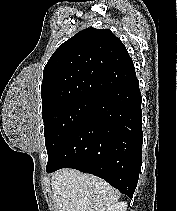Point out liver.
I'll return each mask as SVG.
<instances>
[{"instance_id":"obj_1","label":"liver","mask_w":178,"mask_h":211,"mask_svg":"<svg viewBox=\"0 0 178 211\" xmlns=\"http://www.w3.org/2000/svg\"><path fill=\"white\" fill-rule=\"evenodd\" d=\"M51 187L57 211H107L119 198L103 179L74 169L55 172Z\"/></svg>"}]
</instances>
